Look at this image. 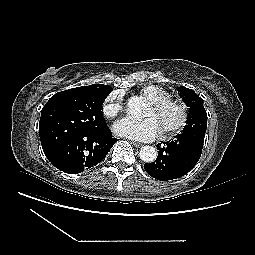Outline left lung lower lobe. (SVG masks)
<instances>
[{"mask_svg":"<svg viewBox=\"0 0 255 255\" xmlns=\"http://www.w3.org/2000/svg\"><path fill=\"white\" fill-rule=\"evenodd\" d=\"M206 128L198 127L186 135H177L174 140L159 143L158 158L144 164L146 172L161 181L177 179L187 174L200 159Z\"/></svg>","mask_w":255,"mask_h":255,"instance_id":"left-lung-lower-lobe-1","label":"left lung lower lobe"}]
</instances>
